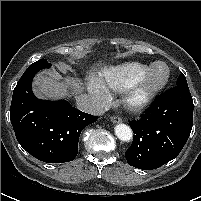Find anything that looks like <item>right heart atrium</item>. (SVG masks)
I'll return each mask as SVG.
<instances>
[{
	"label": "right heart atrium",
	"mask_w": 201,
	"mask_h": 201,
	"mask_svg": "<svg viewBox=\"0 0 201 201\" xmlns=\"http://www.w3.org/2000/svg\"><path fill=\"white\" fill-rule=\"evenodd\" d=\"M89 95L97 109L103 108L110 100L107 87L97 78H92L88 83Z\"/></svg>",
	"instance_id": "d8ad5b80"
}]
</instances>
